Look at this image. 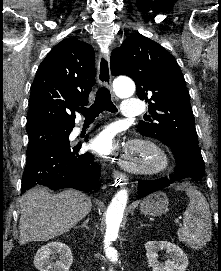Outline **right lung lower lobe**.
I'll return each instance as SVG.
<instances>
[{"label": "right lung lower lobe", "mask_w": 221, "mask_h": 271, "mask_svg": "<svg viewBox=\"0 0 221 271\" xmlns=\"http://www.w3.org/2000/svg\"><path fill=\"white\" fill-rule=\"evenodd\" d=\"M81 145L51 147L27 155L21 192L34 186L51 190L75 188L92 191L98 187L100 166L90 153L78 154Z\"/></svg>", "instance_id": "98d812e1"}]
</instances>
